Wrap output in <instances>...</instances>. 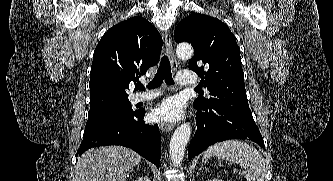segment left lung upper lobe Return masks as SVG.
I'll return each instance as SVG.
<instances>
[{
	"mask_svg": "<svg viewBox=\"0 0 333 181\" xmlns=\"http://www.w3.org/2000/svg\"><path fill=\"white\" fill-rule=\"evenodd\" d=\"M174 39L177 43H191L194 56L189 69L197 72L210 92L209 98L198 97L193 104L216 106L253 118L247 102L240 49L230 29L217 18L192 13L177 25Z\"/></svg>",
	"mask_w": 333,
	"mask_h": 181,
	"instance_id": "1",
	"label": "left lung upper lobe"
}]
</instances>
